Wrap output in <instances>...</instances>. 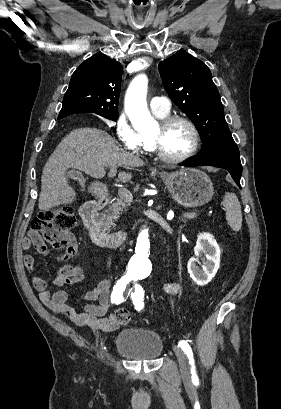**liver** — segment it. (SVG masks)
<instances>
[{
  "label": "liver",
  "mask_w": 281,
  "mask_h": 409,
  "mask_svg": "<svg viewBox=\"0 0 281 409\" xmlns=\"http://www.w3.org/2000/svg\"><path fill=\"white\" fill-rule=\"evenodd\" d=\"M143 166L144 160L132 152L121 150L117 140L100 128H75L71 130L49 156L41 176L38 207L49 211L62 202H72L76 192L67 182L68 168H79L93 178L105 176V166ZM121 182H129L131 172H119Z\"/></svg>",
  "instance_id": "1"
}]
</instances>
